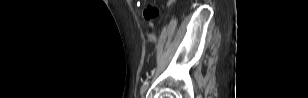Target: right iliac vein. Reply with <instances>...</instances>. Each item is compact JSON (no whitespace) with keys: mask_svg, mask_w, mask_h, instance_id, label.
Here are the masks:
<instances>
[{"mask_svg":"<svg viewBox=\"0 0 308 98\" xmlns=\"http://www.w3.org/2000/svg\"><path fill=\"white\" fill-rule=\"evenodd\" d=\"M146 90H147V88L143 91V93H142V94H144Z\"/></svg>","mask_w":308,"mask_h":98,"instance_id":"1","label":"right iliac vein"}]
</instances>
